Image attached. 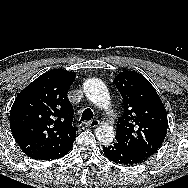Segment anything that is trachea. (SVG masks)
<instances>
[{
  "mask_svg": "<svg viewBox=\"0 0 188 188\" xmlns=\"http://www.w3.org/2000/svg\"><path fill=\"white\" fill-rule=\"evenodd\" d=\"M93 118V112L91 109L87 108L84 110L82 117H81V121H87V120H91Z\"/></svg>",
  "mask_w": 188,
  "mask_h": 188,
  "instance_id": "3493384b",
  "label": "trachea"
}]
</instances>
